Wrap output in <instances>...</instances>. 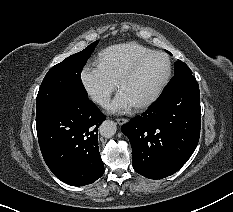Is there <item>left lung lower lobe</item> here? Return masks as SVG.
<instances>
[{
	"label": "left lung lower lobe",
	"mask_w": 233,
	"mask_h": 212,
	"mask_svg": "<svg viewBox=\"0 0 233 212\" xmlns=\"http://www.w3.org/2000/svg\"><path fill=\"white\" fill-rule=\"evenodd\" d=\"M197 82L182 83L159 98L141 116L121 128L132 147L134 170L149 179L178 171L194 152L200 136Z\"/></svg>",
	"instance_id": "1"
}]
</instances>
